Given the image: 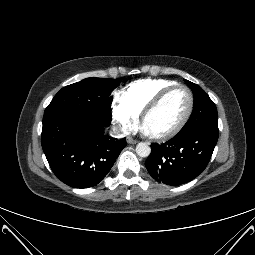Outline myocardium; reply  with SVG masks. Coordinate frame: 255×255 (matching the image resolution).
<instances>
[{
	"label": "myocardium",
	"instance_id": "myocardium-1",
	"mask_svg": "<svg viewBox=\"0 0 255 255\" xmlns=\"http://www.w3.org/2000/svg\"><path fill=\"white\" fill-rule=\"evenodd\" d=\"M177 89H184L187 91L188 96H189V106L188 109L184 115V117L181 119V121L171 130L164 132V133H159V134H152V133H148L149 136L155 140H167L173 136H175L178 132H180L182 130V128L186 125V123L188 122V120L190 119L193 109H194V95L192 90L183 84H175L173 86H170L166 89H164L163 91H161L143 110L142 115H141V124L142 127L145 128V121L147 119V117L153 112L155 111L160 104L163 102V100L173 91L177 90Z\"/></svg>",
	"mask_w": 255,
	"mask_h": 255
}]
</instances>
